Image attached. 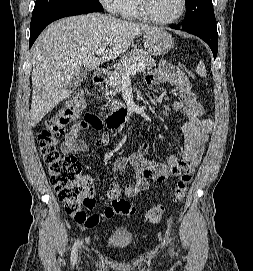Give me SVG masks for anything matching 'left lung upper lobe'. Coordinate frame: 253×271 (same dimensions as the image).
Masks as SVG:
<instances>
[{
	"label": "left lung upper lobe",
	"mask_w": 253,
	"mask_h": 271,
	"mask_svg": "<svg viewBox=\"0 0 253 271\" xmlns=\"http://www.w3.org/2000/svg\"><path fill=\"white\" fill-rule=\"evenodd\" d=\"M187 14L182 23L184 28L205 24H216L212 0H186Z\"/></svg>",
	"instance_id": "1"
}]
</instances>
